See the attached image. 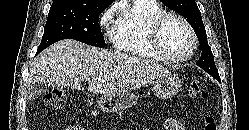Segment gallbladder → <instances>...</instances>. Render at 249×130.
<instances>
[{
  "label": "gallbladder",
  "instance_id": "gallbladder-1",
  "mask_svg": "<svg viewBox=\"0 0 249 130\" xmlns=\"http://www.w3.org/2000/svg\"><path fill=\"white\" fill-rule=\"evenodd\" d=\"M47 90L48 89L46 85L37 82L29 86L26 97L28 100H33L41 95H44Z\"/></svg>",
  "mask_w": 249,
  "mask_h": 130
}]
</instances>
